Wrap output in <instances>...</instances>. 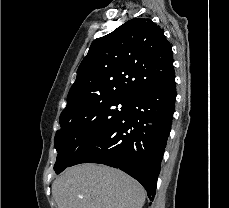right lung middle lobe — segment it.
<instances>
[{
    "label": "right lung middle lobe",
    "instance_id": "obj_1",
    "mask_svg": "<svg viewBox=\"0 0 229 208\" xmlns=\"http://www.w3.org/2000/svg\"><path fill=\"white\" fill-rule=\"evenodd\" d=\"M132 98L109 96L97 99L60 118L61 129L55 135L58 152L54 170L69 167L79 152L92 140L113 126L126 112Z\"/></svg>",
    "mask_w": 229,
    "mask_h": 208
}]
</instances>
